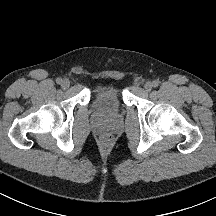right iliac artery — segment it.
Segmentation results:
<instances>
[{
  "instance_id": "right-iliac-artery-1",
  "label": "right iliac artery",
  "mask_w": 216,
  "mask_h": 216,
  "mask_svg": "<svg viewBox=\"0 0 216 216\" xmlns=\"http://www.w3.org/2000/svg\"><path fill=\"white\" fill-rule=\"evenodd\" d=\"M56 82H57V84H61L62 83V79L61 78H57Z\"/></svg>"
}]
</instances>
